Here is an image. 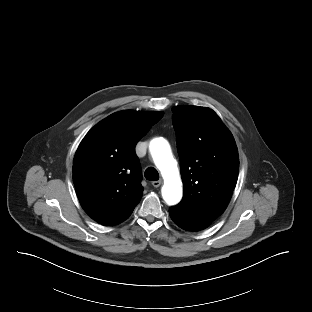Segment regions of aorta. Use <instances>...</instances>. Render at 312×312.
<instances>
[{
  "instance_id": "1",
  "label": "aorta",
  "mask_w": 312,
  "mask_h": 312,
  "mask_svg": "<svg viewBox=\"0 0 312 312\" xmlns=\"http://www.w3.org/2000/svg\"><path fill=\"white\" fill-rule=\"evenodd\" d=\"M149 148L154 163L164 178L163 199L167 204L175 205L182 198V183L177 162L172 156L169 144L164 138H154Z\"/></svg>"
}]
</instances>
